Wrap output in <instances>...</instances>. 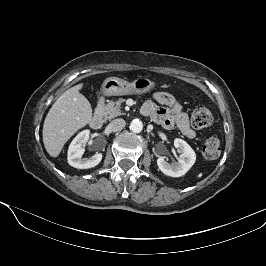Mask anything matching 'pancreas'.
Returning <instances> with one entry per match:
<instances>
[{
    "mask_svg": "<svg viewBox=\"0 0 266 266\" xmlns=\"http://www.w3.org/2000/svg\"><path fill=\"white\" fill-rule=\"evenodd\" d=\"M124 101L125 99L123 98H119L116 101L111 100L107 104L100 105L98 107V110L101 113V115H103L106 119H112L122 114L120 108L121 104Z\"/></svg>",
    "mask_w": 266,
    "mask_h": 266,
    "instance_id": "1",
    "label": "pancreas"
}]
</instances>
